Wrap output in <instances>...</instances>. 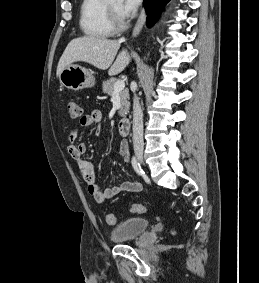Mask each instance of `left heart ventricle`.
<instances>
[{
    "mask_svg": "<svg viewBox=\"0 0 259 283\" xmlns=\"http://www.w3.org/2000/svg\"><path fill=\"white\" fill-rule=\"evenodd\" d=\"M111 5L114 6L115 8L119 9L120 6H121V3L119 1H114V2L111 3Z\"/></svg>",
    "mask_w": 259,
    "mask_h": 283,
    "instance_id": "obj_1",
    "label": "left heart ventricle"
}]
</instances>
